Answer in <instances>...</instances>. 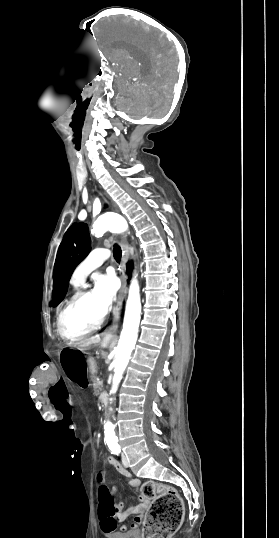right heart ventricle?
<instances>
[{
    "label": "right heart ventricle",
    "mask_w": 279,
    "mask_h": 538,
    "mask_svg": "<svg viewBox=\"0 0 279 538\" xmlns=\"http://www.w3.org/2000/svg\"><path fill=\"white\" fill-rule=\"evenodd\" d=\"M102 217L100 215V212L98 211H94L93 214H92V217H91V223H90V229H91V232L93 234L97 233L98 230H99V227L100 225L102 224ZM72 285H73V291L72 293L70 294V296L67 298V300L65 301L64 303V306L68 303V301L75 295L78 287L82 284V283H78V282H75L73 280V277H72ZM63 306V307H64Z\"/></svg>",
    "instance_id": "obj_1"
}]
</instances>
